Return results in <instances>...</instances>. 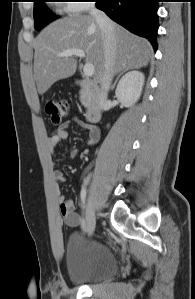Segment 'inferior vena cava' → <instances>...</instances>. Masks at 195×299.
Instances as JSON below:
<instances>
[{
	"label": "inferior vena cava",
	"instance_id": "obj_1",
	"mask_svg": "<svg viewBox=\"0 0 195 299\" xmlns=\"http://www.w3.org/2000/svg\"><path fill=\"white\" fill-rule=\"evenodd\" d=\"M89 13L93 16L98 24L104 45L105 56V71L100 82V106H104L107 100V94L110 89L113 67L116 56V37L113 22L107 17V15L96 8L93 4L90 6Z\"/></svg>",
	"mask_w": 195,
	"mask_h": 299
}]
</instances>
